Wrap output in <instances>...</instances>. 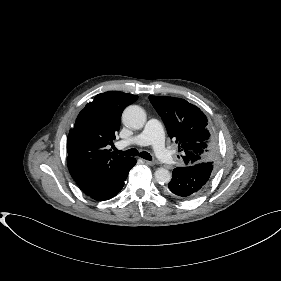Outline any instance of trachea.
Wrapping results in <instances>:
<instances>
[{
	"label": "trachea",
	"instance_id": "trachea-1",
	"mask_svg": "<svg viewBox=\"0 0 281 281\" xmlns=\"http://www.w3.org/2000/svg\"><path fill=\"white\" fill-rule=\"evenodd\" d=\"M114 152L117 153V154L123 155V156H137V155H139L143 159H146V160H149V161L152 160V156L148 152L143 151V152L139 153L137 149H129L127 151H121V150H118V149L114 148Z\"/></svg>",
	"mask_w": 281,
	"mask_h": 281
}]
</instances>
